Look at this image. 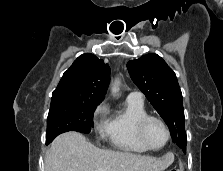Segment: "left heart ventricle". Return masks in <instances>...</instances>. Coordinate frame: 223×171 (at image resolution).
Returning a JSON list of instances; mask_svg holds the SVG:
<instances>
[{
	"label": "left heart ventricle",
	"mask_w": 223,
	"mask_h": 171,
	"mask_svg": "<svg viewBox=\"0 0 223 171\" xmlns=\"http://www.w3.org/2000/svg\"><path fill=\"white\" fill-rule=\"evenodd\" d=\"M167 134L164 127L157 121H151L146 127V138L153 146L164 144Z\"/></svg>",
	"instance_id": "b2bd125f"
}]
</instances>
